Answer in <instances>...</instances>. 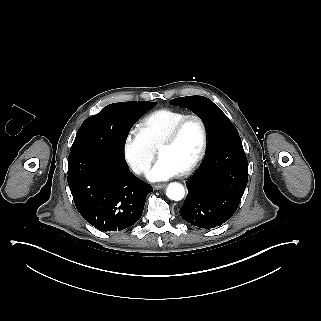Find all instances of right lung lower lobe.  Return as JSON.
<instances>
[{"label":"right lung lower lobe","mask_w":321,"mask_h":321,"mask_svg":"<svg viewBox=\"0 0 321 321\" xmlns=\"http://www.w3.org/2000/svg\"><path fill=\"white\" fill-rule=\"evenodd\" d=\"M113 126L121 137L128 136L142 116L139 108L112 111ZM67 182L83 218L101 231H120L141 217L151 185L128 168L124 155L99 149H79L69 154Z\"/></svg>","instance_id":"1"}]
</instances>
